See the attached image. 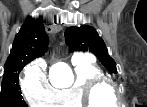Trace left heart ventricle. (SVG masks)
Returning a JSON list of instances; mask_svg holds the SVG:
<instances>
[{"instance_id": "obj_1", "label": "left heart ventricle", "mask_w": 147, "mask_h": 107, "mask_svg": "<svg viewBox=\"0 0 147 107\" xmlns=\"http://www.w3.org/2000/svg\"><path fill=\"white\" fill-rule=\"evenodd\" d=\"M93 101L97 107L113 106L116 102L115 93L110 86H101L95 91Z\"/></svg>"}]
</instances>
